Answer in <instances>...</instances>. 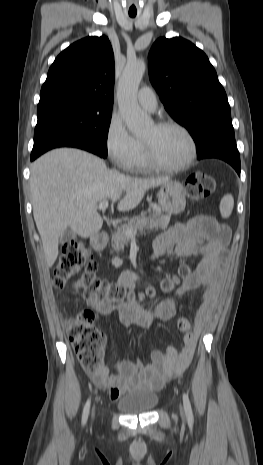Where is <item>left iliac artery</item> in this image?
<instances>
[{
  "mask_svg": "<svg viewBox=\"0 0 263 465\" xmlns=\"http://www.w3.org/2000/svg\"><path fill=\"white\" fill-rule=\"evenodd\" d=\"M183 404H184V409H185V413H186V416H187V420L190 424L193 423V413H192V408H191V404H190V401H189V398H188V395L187 394H183Z\"/></svg>",
  "mask_w": 263,
  "mask_h": 465,
  "instance_id": "obj_1",
  "label": "left iliac artery"
}]
</instances>
